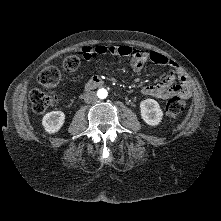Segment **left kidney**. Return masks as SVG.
Instances as JSON below:
<instances>
[{"instance_id": "left-kidney-1", "label": "left kidney", "mask_w": 221, "mask_h": 221, "mask_svg": "<svg viewBox=\"0 0 221 221\" xmlns=\"http://www.w3.org/2000/svg\"><path fill=\"white\" fill-rule=\"evenodd\" d=\"M140 112L144 122L150 126L158 125L163 118V112L158 102L154 99L141 101Z\"/></svg>"}]
</instances>
